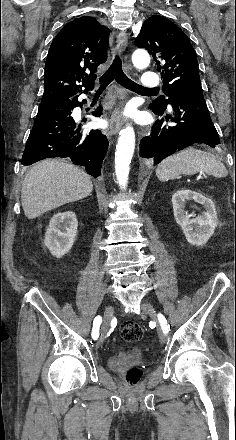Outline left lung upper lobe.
I'll return each mask as SVG.
<instances>
[{
	"instance_id": "5c2ea615",
	"label": "left lung upper lobe",
	"mask_w": 236,
	"mask_h": 440,
	"mask_svg": "<svg viewBox=\"0 0 236 440\" xmlns=\"http://www.w3.org/2000/svg\"><path fill=\"white\" fill-rule=\"evenodd\" d=\"M138 48H145L162 72L163 92L150 108L165 111L177 94L201 88L195 51L186 34L169 19L153 15L142 25L136 37Z\"/></svg>"
}]
</instances>
